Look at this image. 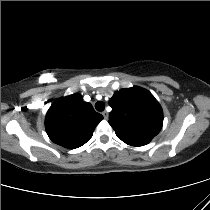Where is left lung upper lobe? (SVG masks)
<instances>
[{
  "label": "left lung upper lobe",
  "mask_w": 210,
  "mask_h": 210,
  "mask_svg": "<svg viewBox=\"0 0 210 210\" xmlns=\"http://www.w3.org/2000/svg\"><path fill=\"white\" fill-rule=\"evenodd\" d=\"M109 124L123 142L131 146L149 143L161 130L163 112L160 104L140 87L116 91L109 101Z\"/></svg>",
  "instance_id": "5c2ea615"
}]
</instances>
